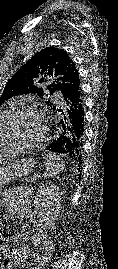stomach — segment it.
Segmentation results:
<instances>
[{"mask_svg": "<svg viewBox=\"0 0 118 269\" xmlns=\"http://www.w3.org/2000/svg\"><path fill=\"white\" fill-rule=\"evenodd\" d=\"M36 166L37 161L33 158H24L7 167L0 168V192L5 184L16 178L27 176L33 172Z\"/></svg>", "mask_w": 118, "mask_h": 269, "instance_id": "1", "label": "stomach"}]
</instances>
